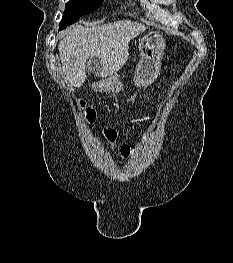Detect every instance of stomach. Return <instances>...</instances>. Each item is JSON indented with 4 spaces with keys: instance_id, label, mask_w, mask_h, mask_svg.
<instances>
[{
    "instance_id": "obj_1",
    "label": "stomach",
    "mask_w": 233,
    "mask_h": 263,
    "mask_svg": "<svg viewBox=\"0 0 233 263\" xmlns=\"http://www.w3.org/2000/svg\"><path fill=\"white\" fill-rule=\"evenodd\" d=\"M165 39L159 32H149L139 41L141 59L136 66L134 79L128 83L124 78L106 77L103 82L94 84L98 91L136 90L151 84L159 75L165 49Z\"/></svg>"
}]
</instances>
